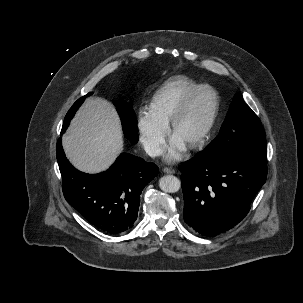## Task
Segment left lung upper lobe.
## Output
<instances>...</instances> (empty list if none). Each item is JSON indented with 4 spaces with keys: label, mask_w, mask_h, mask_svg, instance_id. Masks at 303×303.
I'll use <instances>...</instances> for the list:
<instances>
[{
    "label": "left lung upper lobe",
    "mask_w": 303,
    "mask_h": 303,
    "mask_svg": "<svg viewBox=\"0 0 303 303\" xmlns=\"http://www.w3.org/2000/svg\"><path fill=\"white\" fill-rule=\"evenodd\" d=\"M203 153L215 156L229 154L235 158L267 164L264 129L240 94L234 96L219 135Z\"/></svg>",
    "instance_id": "left-lung-upper-lobe-1"
}]
</instances>
